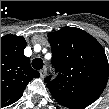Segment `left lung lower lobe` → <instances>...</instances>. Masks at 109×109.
<instances>
[{
    "instance_id": "obj_1",
    "label": "left lung lower lobe",
    "mask_w": 109,
    "mask_h": 109,
    "mask_svg": "<svg viewBox=\"0 0 109 109\" xmlns=\"http://www.w3.org/2000/svg\"><path fill=\"white\" fill-rule=\"evenodd\" d=\"M57 102H59L61 105L68 107V108H72V109H82L84 108V106L71 102L67 99L61 98V97H57V96H53Z\"/></svg>"
}]
</instances>
